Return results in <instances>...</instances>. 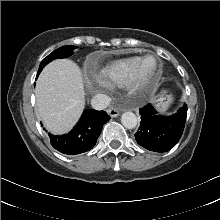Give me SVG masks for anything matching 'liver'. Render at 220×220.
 Listing matches in <instances>:
<instances>
[{
	"label": "liver",
	"instance_id": "liver-1",
	"mask_svg": "<svg viewBox=\"0 0 220 220\" xmlns=\"http://www.w3.org/2000/svg\"><path fill=\"white\" fill-rule=\"evenodd\" d=\"M35 96L44 126L54 134L68 132L85 105L80 68L71 60L52 61L38 77Z\"/></svg>",
	"mask_w": 220,
	"mask_h": 220
}]
</instances>
